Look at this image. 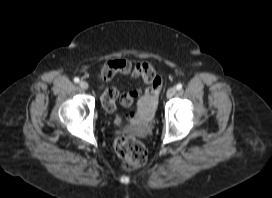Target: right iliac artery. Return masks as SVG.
I'll list each match as a JSON object with an SVG mask.
<instances>
[{
  "mask_svg": "<svg viewBox=\"0 0 272 198\" xmlns=\"http://www.w3.org/2000/svg\"><path fill=\"white\" fill-rule=\"evenodd\" d=\"M79 81H80V80H79L78 77H75V78H74V82H75V83H78Z\"/></svg>",
  "mask_w": 272,
  "mask_h": 198,
  "instance_id": "right-iliac-artery-1",
  "label": "right iliac artery"
}]
</instances>
